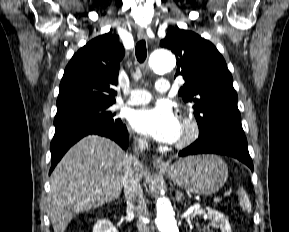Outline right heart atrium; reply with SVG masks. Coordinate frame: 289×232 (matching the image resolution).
Returning a JSON list of instances; mask_svg holds the SVG:
<instances>
[{
	"instance_id": "1",
	"label": "right heart atrium",
	"mask_w": 289,
	"mask_h": 232,
	"mask_svg": "<svg viewBox=\"0 0 289 232\" xmlns=\"http://www.w3.org/2000/svg\"><path fill=\"white\" fill-rule=\"evenodd\" d=\"M137 142L140 146H144L146 144V141L143 138H137Z\"/></svg>"
}]
</instances>
